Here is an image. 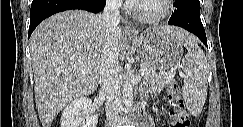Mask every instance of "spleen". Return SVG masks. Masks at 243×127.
I'll return each instance as SVG.
<instances>
[{"instance_id": "spleen-1", "label": "spleen", "mask_w": 243, "mask_h": 127, "mask_svg": "<svg viewBox=\"0 0 243 127\" xmlns=\"http://www.w3.org/2000/svg\"><path fill=\"white\" fill-rule=\"evenodd\" d=\"M175 36L179 43L188 50L179 64L184 70L183 97L189 110L199 114L207 97V60L204 52L191 35L177 34Z\"/></svg>"}]
</instances>
